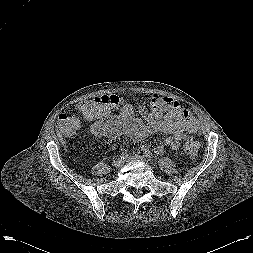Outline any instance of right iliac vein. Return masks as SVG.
<instances>
[{"label":"right iliac vein","mask_w":253,"mask_h":253,"mask_svg":"<svg viewBox=\"0 0 253 253\" xmlns=\"http://www.w3.org/2000/svg\"><path fill=\"white\" fill-rule=\"evenodd\" d=\"M124 164V160L123 159H121V158H116V159H114V161H113V165L115 166V167H121L122 165Z\"/></svg>","instance_id":"right-iliac-vein-1"}]
</instances>
